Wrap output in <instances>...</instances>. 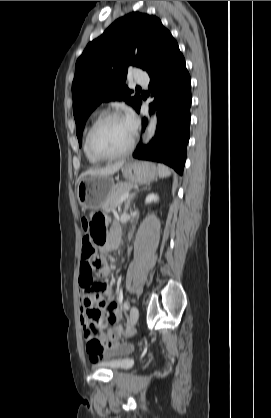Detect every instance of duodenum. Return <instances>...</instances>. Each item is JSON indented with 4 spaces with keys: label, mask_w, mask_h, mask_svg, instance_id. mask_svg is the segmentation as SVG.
Masks as SVG:
<instances>
[{
    "label": "duodenum",
    "mask_w": 271,
    "mask_h": 418,
    "mask_svg": "<svg viewBox=\"0 0 271 418\" xmlns=\"http://www.w3.org/2000/svg\"><path fill=\"white\" fill-rule=\"evenodd\" d=\"M118 241H119V231L118 230H114L112 232V236H111V240H110L109 246L115 245Z\"/></svg>",
    "instance_id": "410a0bca"
}]
</instances>
